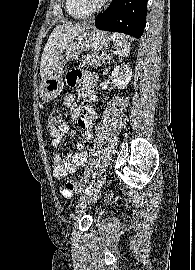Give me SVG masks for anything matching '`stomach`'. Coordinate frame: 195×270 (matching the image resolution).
I'll use <instances>...</instances> for the list:
<instances>
[{
	"label": "stomach",
	"instance_id": "obj_1",
	"mask_svg": "<svg viewBox=\"0 0 195 270\" xmlns=\"http://www.w3.org/2000/svg\"><path fill=\"white\" fill-rule=\"evenodd\" d=\"M111 41L110 34L89 28L72 39L65 49V55L48 72L46 79L40 86V96L45 100L56 98L63 86V65L76 59L84 51H99L106 49Z\"/></svg>",
	"mask_w": 195,
	"mask_h": 270
}]
</instances>
